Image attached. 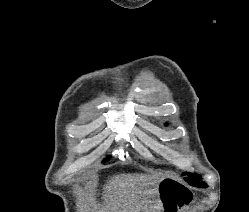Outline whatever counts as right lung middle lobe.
Here are the masks:
<instances>
[{"mask_svg":"<svg viewBox=\"0 0 249 212\" xmlns=\"http://www.w3.org/2000/svg\"><path fill=\"white\" fill-rule=\"evenodd\" d=\"M108 159H109V158H107V159L103 160V162H106Z\"/></svg>","mask_w":249,"mask_h":212,"instance_id":"obj_1","label":"right lung middle lobe"}]
</instances>
